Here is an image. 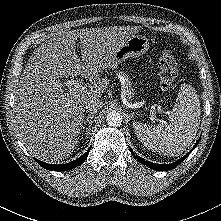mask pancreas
Here are the masks:
<instances>
[{
	"label": "pancreas",
	"instance_id": "obj_1",
	"mask_svg": "<svg viewBox=\"0 0 221 221\" xmlns=\"http://www.w3.org/2000/svg\"><path fill=\"white\" fill-rule=\"evenodd\" d=\"M117 75L120 77V76H123L124 80H125V93H126V96L128 99H131L133 96H134V90L132 88V85H131V82L128 78L127 75H125L123 72H118Z\"/></svg>",
	"mask_w": 221,
	"mask_h": 221
}]
</instances>
